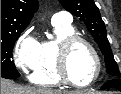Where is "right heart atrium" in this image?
<instances>
[{
  "label": "right heart atrium",
  "instance_id": "right-heart-atrium-1",
  "mask_svg": "<svg viewBox=\"0 0 121 94\" xmlns=\"http://www.w3.org/2000/svg\"><path fill=\"white\" fill-rule=\"evenodd\" d=\"M38 42L30 35L24 36L20 39L13 50L14 65L21 72H28L33 68L38 51Z\"/></svg>",
  "mask_w": 121,
  "mask_h": 94
}]
</instances>
